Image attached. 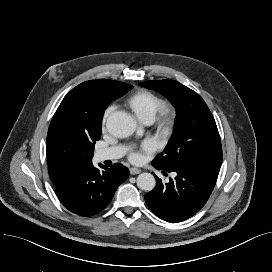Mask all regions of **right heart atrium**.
I'll return each mask as SVG.
<instances>
[{
	"instance_id": "obj_1",
	"label": "right heart atrium",
	"mask_w": 272,
	"mask_h": 272,
	"mask_svg": "<svg viewBox=\"0 0 272 272\" xmlns=\"http://www.w3.org/2000/svg\"><path fill=\"white\" fill-rule=\"evenodd\" d=\"M112 109H113V108H112L111 106H109V107L106 109V111H105V113H104V116H103V124L106 122L108 116H109L110 113L112 112Z\"/></svg>"
}]
</instances>
